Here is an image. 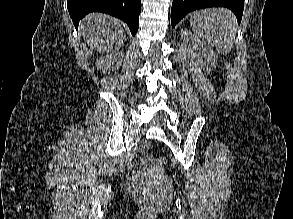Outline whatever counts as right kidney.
Returning a JSON list of instances; mask_svg holds the SVG:
<instances>
[{
	"mask_svg": "<svg viewBox=\"0 0 293 219\" xmlns=\"http://www.w3.org/2000/svg\"><path fill=\"white\" fill-rule=\"evenodd\" d=\"M120 60V56L116 53H111L98 59L96 61V67L103 72L114 70L119 65Z\"/></svg>",
	"mask_w": 293,
	"mask_h": 219,
	"instance_id": "1",
	"label": "right kidney"
}]
</instances>
